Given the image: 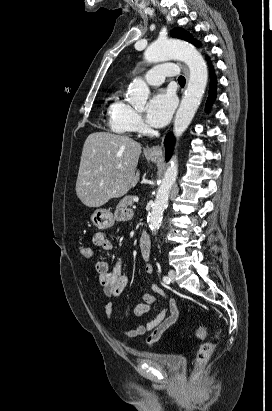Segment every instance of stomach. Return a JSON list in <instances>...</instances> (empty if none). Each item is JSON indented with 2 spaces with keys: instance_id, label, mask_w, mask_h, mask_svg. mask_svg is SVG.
<instances>
[{
  "instance_id": "0dacf381",
  "label": "stomach",
  "mask_w": 272,
  "mask_h": 411,
  "mask_svg": "<svg viewBox=\"0 0 272 411\" xmlns=\"http://www.w3.org/2000/svg\"><path fill=\"white\" fill-rule=\"evenodd\" d=\"M148 158L154 162L158 160V157L155 156H148ZM90 219L93 225L96 226L98 229L110 228L115 223V218L113 214L110 212V210L107 209H96L91 214Z\"/></svg>"
}]
</instances>
